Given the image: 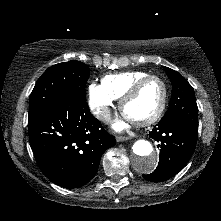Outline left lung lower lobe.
<instances>
[{
	"label": "left lung lower lobe",
	"mask_w": 221,
	"mask_h": 221,
	"mask_svg": "<svg viewBox=\"0 0 221 221\" xmlns=\"http://www.w3.org/2000/svg\"><path fill=\"white\" fill-rule=\"evenodd\" d=\"M149 136L159 143V164L153 173L143 177L151 182H163L187 164L196 147L198 129L180 119L160 120Z\"/></svg>",
	"instance_id": "obj_1"
}]
</instances>
